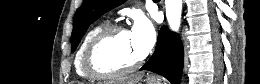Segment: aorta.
Returning a JSON list of instances; mask_svg holds the SVG:
<instances>
[{
  "mask_svg": "<svg viewBox=\"0 0 260 84\" xmlns=\"http://www.w3.org/2000/svg\"><path fill=\"white\" fill-rule=\"evenodd\" d=\"M165 7L170 28L178 32L181 25L182 0H165Z\"/></svg>",
  "mask_w": 260,
  "mask_h": 84,
  "instance_id": "1",
  "label": "aorta"
}]
</instances>
